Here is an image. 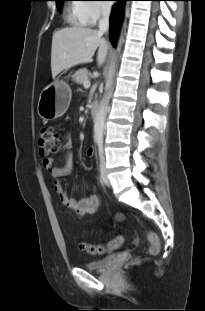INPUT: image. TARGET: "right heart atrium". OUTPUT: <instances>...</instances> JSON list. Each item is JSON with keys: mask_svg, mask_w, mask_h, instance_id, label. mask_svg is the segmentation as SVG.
<instances>
[{"mask_svg": "<svg viewBox=\"0 0 205 311\" xmlns=\"http://www.w3.org/2000/svg\"><path fill=\"white\" fill-rule=\"evenodd\" d=\"M98 1H92L82 6V11L88 23H95L99 19L108 16L109 9Z\"/></svg>", "mask_w": 205, "mask_h": 311, "instance_id": "right-heart-atrium-1", "label": "right heart atrium"}]
</instances>
